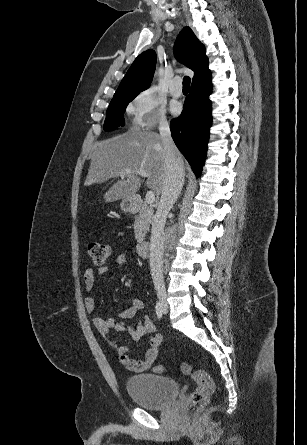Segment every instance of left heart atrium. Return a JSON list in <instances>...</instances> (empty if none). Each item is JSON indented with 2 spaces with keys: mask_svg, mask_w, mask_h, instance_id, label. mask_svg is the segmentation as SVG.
<instances>
[{
  "mask_svg": "<svg viewBox=\"0 0 307 445\" xmlns=\"http://www.w3.org/2000/svg\"><path fill=\"white\" fill-rule=\"evenodd\" d=\"M171 110L174 114H178L180 112V106L177 103L171 104Z\"/></svg>",
  "mask_w": 307,
  "mask_h": 445,
  "instance_id": "1",
  "label": "left heart atrium"
}]
</instances>
